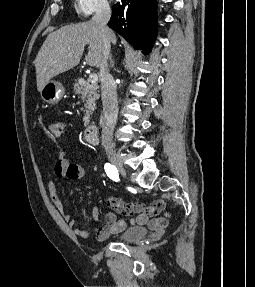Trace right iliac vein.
<instances>
[{
	"mask_svg": "<svg viewBox=\"0 0 255 287\" xmlns=\"http://www.w3.org/2000/svg\"><path fill=\"white\" fill-rule=\"evenodd\" d=\"M106 153H107L109 161L119 170V172L123 176H126L125 168L122 162L120 161L116 151L113 148H107Z\"/></svg>",
	"mask_w": 255,
	"mask_h": 287,
	"instance_id": "obj_1",
	"label": "right iliac vein"
}]
</instances>
